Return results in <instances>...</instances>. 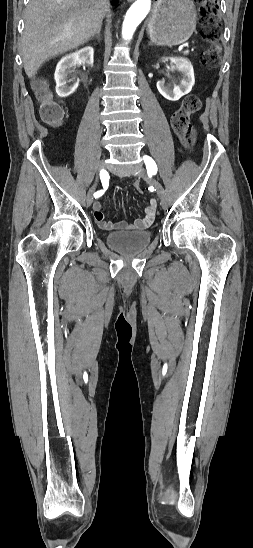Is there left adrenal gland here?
<instances>
[{"instance_id":"a2214340","label":"left adrenal gland","mask_w":253,"mask_h":548,"mask_svg":"<svg viewBox=\"0 0 253 548\" xmlns=\"http://www.w3.org/2000/svg\"><path fill=\"white\" fill-rule=\"evenodd\" d=\"M149 45H153V43H152V42H149Z\"/></svg>"}]
</instances>
